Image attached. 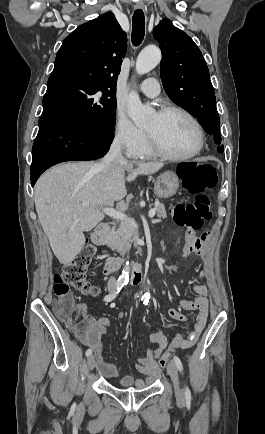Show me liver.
I'll list each match as a JSON object with an SVG mask.
<instances>
[{
  "instance_id": "6515ba94",
  "label": "liver",
  "mask_w": 265,
  "mask_h": 434,
  "mask_svg": "<svg viewBox=\"0 0 265 434\" xmlns=\"http://www.w3.org/2000/svg\"><path fill=\"white\" fill-rule=\"evenodd\" d=\"M100 162L61 164L39 178L34 192L38 220L60 264L68 266L85 244L83 232L93 230L104 218L101 208L114 206L127 194L126 182L139 174H156L163 162L117 164L100 170ZM125 170L130 172L125 178ZM89 202L83 206L81 202Z\"/></svg>"
}]
</instances>
